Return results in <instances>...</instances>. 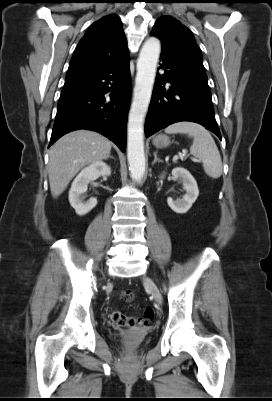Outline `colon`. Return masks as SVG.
I'll return each mask as SVG.
<instances>
[{
    "instance_id": "obj_1",
    "label": "colon",
    "mask_w": 272,
    "mask_h": 401,
    "mask_svg": "<svg viewBox=\"0 0 272 401\" xmlns=\"http://www.w3.org/2000/svg\"><path fill=\"white\" fill-rule=\"evenodd\" d=\"M122 298L124 301L130 302L133 299V294L129 290L123 291ZM110 318L113 324L119 328H136L148 325L154 318V310L152 307L148 306L142 318L128 317L114 310L111 312Z\"/></svg>"
}]
</instances>
